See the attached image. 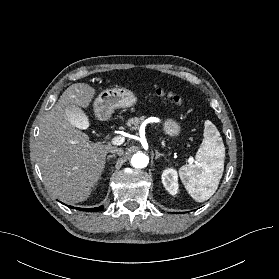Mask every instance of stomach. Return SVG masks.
<instances>
[{"label":"stomach","instance_id":"stomach-1","mask_svg":"<svg viewBox=\"0 0 279 279\" xmlns=\"http://www.w3.org/2000/svg\"><path fill=\"white\" fill-rule=\"evenodd\" d=\"M137 101L135 93L126 88L106 89L95 99L94 112L99 120L105 121L111 117L115 109L132 107ZM163 132L169 137H178L181 126L176 120L167 118L163 123Z\"/></svg>","mask_w":279,"mask_h":279}]
</instances>
